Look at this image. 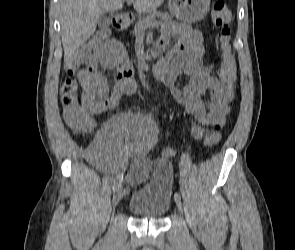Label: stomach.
Instances as JSON below:
<instances>
[{
  "instance_id": "obj_1",
  "label": "stomach",
  "mask_w": 295,
  "mask_h": 250,
  "mask_svg": "<svg viewBox=\"0 0 295 250\" xmlns=\"http://www.w3.org/2000/svg\"><path fill=\"white\" fill-rule=\"evenodd\" d=\"M170 13L181 21L197 22L210 9V0H169Z\"/></svg>"
}]
</instances>
